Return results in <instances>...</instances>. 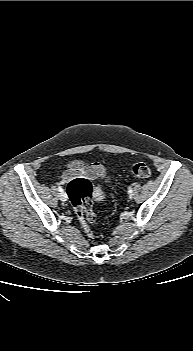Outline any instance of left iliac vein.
Returning a JSON list of instances; mask_svg holds the SVG:
<instances>
[{"instance_id": "obj_1", "label": "left iliac vein", "mask_w": 193, "mask_h": 351, "mask_svg": "<svg viewBox=\"0 0 193 351\" xmlns=\"http://www.w3.org/2000/svg\"><path fill=\"white\" fill-rule=\"evenodd\" d=\"M129 198H130V199H132V198H133V195H132V194H130V195H129Z\"/></svg>"}]
</instances>
